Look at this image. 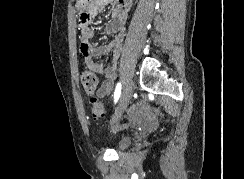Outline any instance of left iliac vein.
<instances>
[{
	"label": "left iliac vein",
	"instance_id": "obj_1",
	"mask_svg": "<svg viewBox=\"0 0 244 179\" xmlns=\"http://www.w3.org/2000/svg\"><path fill=\"white\" fill-rule=\"evenodd\" d=\"M134 90V82L132 80H128L122 90L121 99L118 104L117 110L111 120V124L118 121V119L122 116L124 111L127 109L133 95Z\"/></svg>",
	"mask_w": 244,
	"mask_h": 179
}]
</instances>
